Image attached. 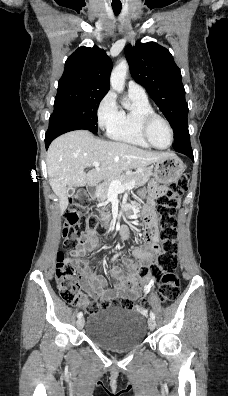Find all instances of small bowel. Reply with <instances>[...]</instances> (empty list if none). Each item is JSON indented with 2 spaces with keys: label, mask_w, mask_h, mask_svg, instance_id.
<instances>
[{
  "label": "small bowel",
  "mask_w": 228,
  "mask_h": 396,
  "mask_svg": "<svg viewBox=\"0 0 228 396\" xmlns=\"http://www.w3.org/2000/svg\"><path fill=\"white\" fill-rule=\"evenodd\" d=\"M166 186H155L151 191V198L143 209V213L150 216L152 220V227L146 230L145 235L148 239L152 240L153 246L150 249H143L138 247L132 248L133 255L140 260L144 265H151L160 249L158 247V228L155 220V199L162 195ZM122 235L125 239L129 238L126 228L122 229ZM99 233L96 229H89L84 235V240L76 246V248L67 251L64 261L72 264L78 271L80 281L83 289L93 298H101L104 301H109L119 298H130L137 300L142 293L140 284L144 287L145 291H149L154 283V276L148 275L140 278L137 271L127 264L128 271L124 273L119 266H114L110 269L111 276L116 280V285L113 289L107 288V280L96 274H93L88 269L82 266L81 258L86 256L98 248Z\"/></svg>",
  "instance_id": "c3829d8e"
}]
</instances>
